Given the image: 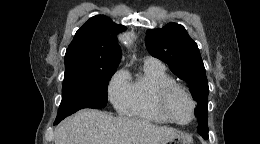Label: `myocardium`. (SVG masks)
<instances>
[{
  "label": "myocardium",
  "mask_w": 260,
  "mask_h": 144,
  "mask_svg": "<svg viewBox=\"0 0 260 144\" xmlns=\"http://www.w3.org/2000/svg\"><path fill=\"white\" fill-rule=\"evenodd\" d=\"M182 92L190 101L191 103V118L186 122H180L172 117V115L169 113L167 108V102L170 98V96L175 92ZM154 107L156 111L159 113L161 117H163L167 122L179 125V126H186L192 123V121L195 118V112H196V101L193 98L190 91L178 84V83H170L163 85L158 88L155 97H154Z\"/></svg>",
  "instance_id": "obj_1"
}]
</instances>
